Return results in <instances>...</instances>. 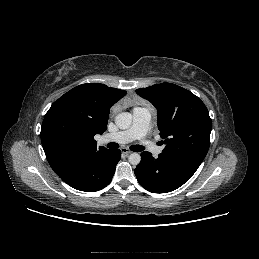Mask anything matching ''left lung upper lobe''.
Masks as SVG:
<instances>
[{
    "instance_id": "obj_1",
    "label": "left lung upper lobe",
    "mask_w": 259,
    "mask_h": 259,
    "mask_svg": "<svg viewBox=\"0 0 259 259\" xmlns=\"http://www.w3.org/2000/svg\"><path fill=\"white\" fill-rule=\"evenodd\" d=\"M136 93L157 108V125L166 144L162 153L202 162L210 146L212 129L204 103L172 83L140 88Z\"/></svg>"
}]
</instances>
